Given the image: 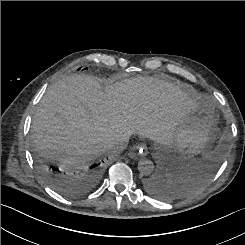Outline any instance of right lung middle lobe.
<instances>
[{"instance_id":"right-lung-middle-lobe-1","label":"right lung middle lobe","mask_w":245,"mask_h":245,"mask_svg":"<svg viewBox=\"0 0 245 245\" xmlns=\"http://www.w3.org/2000/svg\"><path fill=\"white\" fill-rule=\"evenodd\" d=\"M86 170H88V169H86ZM86 170H84V171H82V172H85ZM82 172H81V173H82ZM63 174H65V173H63Z\"/></svg>"}]
</instances>
